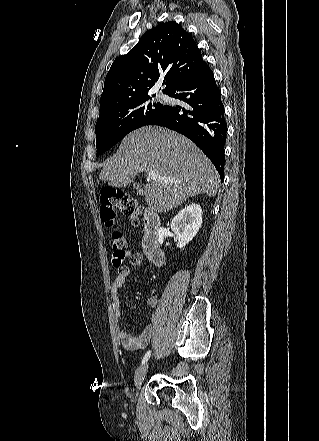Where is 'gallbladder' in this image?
I'll return each mask as SVG.
<instances>
[{
	"instance_id": "obj_1",
	"label": "gallbladder",
	"mask_w": 319,
	"mask_h": 441,
	"mask_svg": "<svg viewBox=\"0 0 319 441\" xmlns=\"http://www.w3.org/2000/svg\"><path fill=\"white\" fill-rule=\"evenodd\" d=\"M133 187L137 190L138 193H142V186L139 183H135Z\"/></svg>"
}]
</instances>
